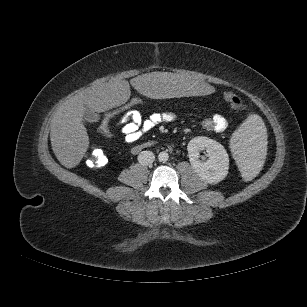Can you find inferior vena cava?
I'll use <instances>...</instances> for the list:
<instances>
[{
	"instance_id": "1",
	"label": "inferior vena cava",
	"mask_w": 307,
	"mask_h": 307,
	"mask_svg": "<svg viewBox=\"0 0 307 307\" xmlns=\"http://www.w3.org/2000/svg\"><path fill=\"white\" fill-rule=\"evenodd\" d=\"M155 160V156L151 151H142L138 155V162L141 165H149L152 164Z\"/></svg>"
}]
</instances>
